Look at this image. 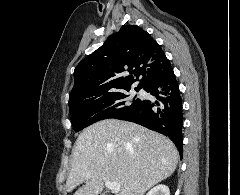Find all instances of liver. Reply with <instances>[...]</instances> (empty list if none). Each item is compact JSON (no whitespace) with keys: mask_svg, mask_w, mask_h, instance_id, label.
<instances>
[{"mask_svg":"<svg viewBox=\"0 0 240 195\" xmlns=\"http://www.w3.org/2000/svg\"><path fill=\"white\" fill-rule=\"evenodd\" d=\"M178 159L169 137L132 121L102 119L79 133L66 189L85 183L74 195H99L105 181H118V195H143L175 171Z\"/></svg>","mask_w":240,"mask_h":195,"instance_id":"1","label":"liver"}]
</instances>
